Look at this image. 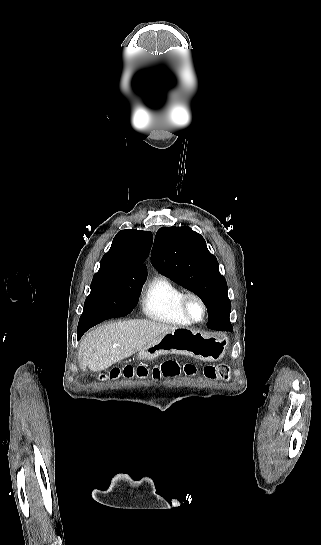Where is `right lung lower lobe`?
I'll return each instance as SVG.
<instances>
[{
	"mask_svg": "<svg viewBox=\"0 0 321 545\" xmlns=\"http://www.w3.org/2000/svg\"><path fill=\"white\" fill-rule=\"evenodd\" d=\"M138 297L139 296L135 295H121L119 297H116L108 302L105 306H103L100 314L101 317L98 320L84 323L79 322L77 328L78 340L89 328L95 326L96 324L109 318L128 315L136 306Z\"/></svg>",
	"mask_w": 321,
	"mask_h": 545,
	"instance_id": "obj_1",
	"label": "right lung lower lobe"
}]
</instances>
